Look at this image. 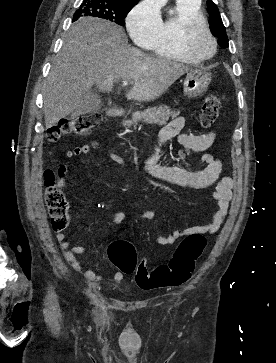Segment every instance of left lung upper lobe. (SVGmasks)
Returning a JSON list of instances; mask_svg holds the SVG:
<instances>
[{"label":"left lung upper lobe","instance_id":"left-lung-upper-lobe-1","mask_svg":"<svg viewBox=\"0 0 276 363\" xmlns=\"http://www.w3.org/2000/svg\"><path fill=\"white\" fill-rule=\"evenodd\" d=\"M208 12L210 13V30L212 34L218 37V43L221 47H228V37L226 35V29L222 23L219 10L212 0L207 1Z\"/></svg>","mask_w":276,"mask_h":363}]
</instances>
